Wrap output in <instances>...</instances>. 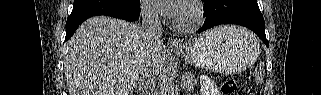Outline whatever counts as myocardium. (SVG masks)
Returning <instances> with one entry per match:
<instances>
[{
    "label": "myocardium",
    "mask_w": 321,
    "mask_h": 95,
    "mask_svg": "<svg viewBox=\"0 0 321 95\" xmlns=\"http://www.w3.org/2000/svg\"><path fill=\"white\" fill-rule=\"evenodd\" d=\"M184 9L190 14L191 20L187 24H182L176 18L171 21V27L180 33H190L198 29L204 20V9L199 1H188L184 4Z\"/></svg>",
    "instance_id": "obj_1"
}]
</instances>
